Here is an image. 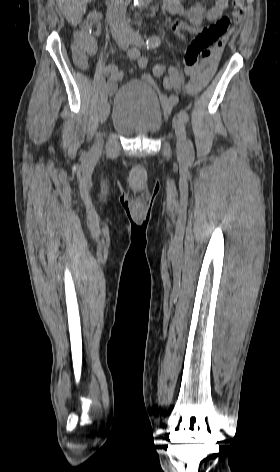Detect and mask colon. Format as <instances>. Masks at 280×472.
<instances>
[{
	"instance_id": "5ec220e1",
	"label": "colon",
	"mask_w": 280,
	"mask_h": 472,
	"mask_svg": "<svg viewBox=\"0 0 280 472\" xmlns=\"http://www.w3.org/2000/svg\"><path fill=\"white\" fill-rule=\"evenodd\" d=\"M244 0H233L232 11L230 15H224L215 23L201 30V32L193 38L187 46L184 62L186 65L195 66L198 64L199 58H207L212 55L215 49L223 45L225 37L231 23L239 24L243 17ZM84 32L88 34H97L99 26L94 21H87L83 24ZM75 62L78 66L84 65L81 57H76ZM166 68L163 65H155L153 67V76L156 78L163 77Z\"/></svg>"
}]
</instances>
